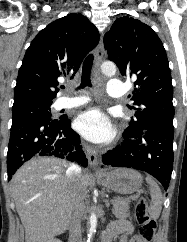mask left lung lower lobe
I'll return each instance as SVG.
<instances>
[{"mask_svg": "<svg viewBox=\"0 0 187 242\" xmlns=\"http://www.w3.org/2000/svg\"><path fill=\"white\" fill-rule=\"evenodd\" d=\"M120 146L103 155L105 165L128 167L154 176L167 190L173 168V130L148 129L124 133Z\"/></svg>", "mask_w": 187, "mask_h": 242, "instance_id": "obj_1", "label": "left lung lower lobe"}]
</instances>
